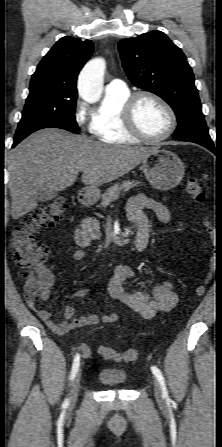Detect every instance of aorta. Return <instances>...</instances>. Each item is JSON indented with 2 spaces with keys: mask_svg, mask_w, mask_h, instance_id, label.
I'll list each match as a JSON object with an SVG mask.
<instances>
[{
  "mask_svg": "<svg viewBox=\"0 0 222 447\" xmlns=\"http://www.w3.org/2000/svg\"><path fill=\"white\" fill-rule=\"evenodd\" d=\"M105 60L94 58L82 69L78 79V91L81 98L88 103L99 101L102 93Z\"/></svg>",
  "mask_w": 222,
  "mask_h": 447,
  "instance_id": "obj_1",
  "label": "aorta"
}]
</instances>
